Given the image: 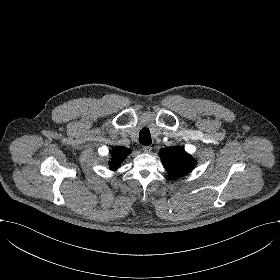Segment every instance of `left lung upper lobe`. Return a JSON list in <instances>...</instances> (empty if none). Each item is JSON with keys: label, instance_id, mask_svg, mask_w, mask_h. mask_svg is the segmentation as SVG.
Instances as JSON below:
<instances>
[{"label": "left lung upper lobe", "instance_id": "1", "mask_svg": "<svg viewBox=\"0 0 280 280\" xmlns=\"http://www.w3.org/2000/svg\"><path fill=\"white\" fill-rule=\"evenodd\" d=\"M159 155L168 174L174 179L189 173L196 165L195 159L181 146L161 149Z\"/></svg>", "mask_w": 280, "mask_h": 280}]
</instances>
